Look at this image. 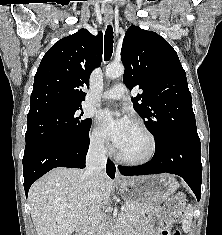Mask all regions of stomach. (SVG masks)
Masks as SVG:
<instances>
[{
	"instance_id": "obj_1",
	"label": "stomach",
	"mask_w": 222,
	"mask_h": 235,
	"mask_svg": "<svg viewBox=\"0 0 222 235\" xmlns=\"http://www.w3.org/2000/svg\"><path fill=\"white\" fill-rule=\"evenodd\" d=\"M177 188L176 180L168 175L143 176L120 183L125 201L142 209L165 201Z\"/></svg>"
}]
</instances>
